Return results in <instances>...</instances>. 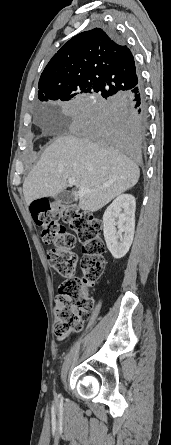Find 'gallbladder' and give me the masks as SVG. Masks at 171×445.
<instances>
[{
  "label": "gallbladder",
  "mask_w": 171,
  "mask_h": 445,
  "mask_svg": "<svg viewBox=\"0 0 171 445\" xmlns=\"http://www.w3.org/2000/svg\"><path fill=\"white\" fill-rule=\"evenodd\" d=\"M54 199L58 203L68 204L72 202L73 195L68 191H62L58 193L56 196H54Z\"/></svg>",
  "instance_id": "gallbladder-1"
}]
</instances>
